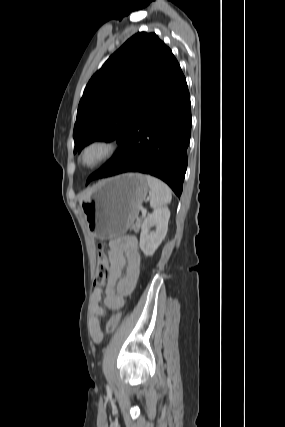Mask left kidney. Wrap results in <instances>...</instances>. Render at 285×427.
Segmentation results:
<instances>
[{"label":"left kidney","mask_w":285,"mask_h":427,"mask_svg":"<svg viewBox=\"0 0 285 427\" xmlns=\"http://www.w3.org/2000/svg\"><path fill=\"white\" fill-rule=\"evenodd\" d=\"M169 218V209L160 208L144 219L140 234V248L146 256H152L164 240ZM153 226L156 227V231L150 232V228Z\"/></svg>","instance_id":"1"}]
</instances>
